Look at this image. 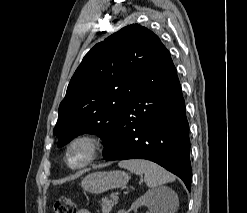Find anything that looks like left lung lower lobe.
Returning <instances> with one entry per match:
<instances>
[{
	"mask_svg": "<svg viewBox=\"0 0 247 213\" xmlns=\"http://www.w3.org/2000/svg\"><path fill=\"white\" fill-rule=\"evenodd\" d=\"M189 125L170 53L145 74L127 100L106 160L147 159L180 177L191 189Z\"/></svg>",
	"mask_w": 247,
	"mask_h": 213,
	"instance_id": "obj_1",
	"label": "left lung lower lobe"
}]
</instances>
